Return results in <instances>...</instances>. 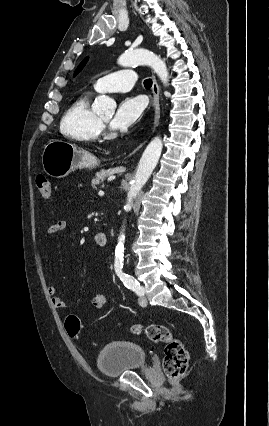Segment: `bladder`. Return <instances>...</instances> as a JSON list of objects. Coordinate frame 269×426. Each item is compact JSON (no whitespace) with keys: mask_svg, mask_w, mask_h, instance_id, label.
Segmentation results:
<instances>
[{"mask_svg":"<svg viewBox=\"0 0 269 426\" xmlns=\"http://www.w3.org/2000/svg\"><path fill=\"white\" fill-rule=\"evenodd\" d=\"M100 371L108 377H117L134 371L147 363L144 349L130 341H115L106 345L97 355Z\"/></svg>","mask_w":269,"mask_h":426,"instance_id":"1","label":"bladder"}]
</instances>
